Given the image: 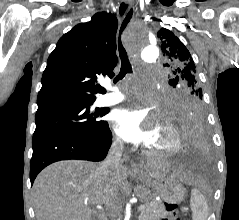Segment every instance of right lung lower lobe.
Returning a JSON list of instances; mask_svg holds the SVG:
<instances>
[{
	"label": "right lung lower lobe",
	"mask_w": 239,
	"mask_h": 220,
	"mask_svg": "<svg viewBox=\"0 0 239 220\" xmlns=\"http://www.w3.org/2000/svg\"><path fill=\"white\" fill-rule=\"evenodd\" d=\"M112 133L107 125L97 135L69 132H43L33 135V154L30 180L33 184L38 173L47 165L67 159L103 160L110 148Z\"/></svg>",
	"instance_id": "1"
}]
</instances>
